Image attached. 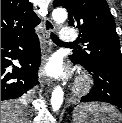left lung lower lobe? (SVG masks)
<instances>
[{
	"label": "left lung lower lobe",
	"instance_id": "left-lung-lower-lobe-1",
	"mask_svg": "<svg viewBox=\"0 0 122 123\" xmlns=\"http://www.w3.org/2000/svg\"><path fill=\"white\" fill-rule=\"evenodd\" d=\"M83 67L93 76L94 86L81 102L101 101L122 108V65L104 63Z\"/></svg>",
	"mask_w": 122,
	"mask_h": 123
}]
</instances>
